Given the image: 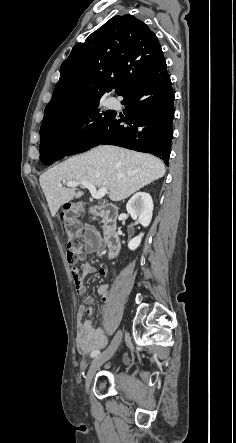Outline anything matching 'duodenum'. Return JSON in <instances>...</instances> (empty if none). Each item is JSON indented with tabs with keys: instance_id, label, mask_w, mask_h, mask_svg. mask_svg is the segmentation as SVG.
<instances>
[{
	"instance_id": "1",
	"label": "duodenum",
	"mask_w": 236,
	"mask_h": 443,
	"mask_svg": "<svg viewBox=\"0 0 236 443\" xmlns=\"http://www.w3.org/2000/svg\"><path fill=\"white\" fill-rule=\"evenodd\" d=\"M91 214L102 217L105 222L104 240L108 246L109 256H117L120 247V236L117 232L116 218L119 210L115 206L105 205L91 209Z\"/></svg>"
}]
</instances>
